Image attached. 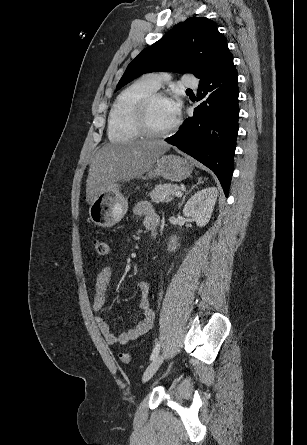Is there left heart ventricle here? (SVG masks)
Returning <instances> with one entry per match:
<instances>
[{"label": "left heart ventricle", "instance_id": "b2bd125f", "mask_svg": "<svg viewBox=\"0 0 307 445\" xmlns=\"http://www.w3.org/2000/svg\"><path fill=\"white\" fill-rule=\"evenodd\" d=\"M175 119L170 115L166 100L154 101L149 109V122L156 131H164L172 126Z\"/></svg>", "mask_w": 307, "mask_h": 445}]
</instances>
